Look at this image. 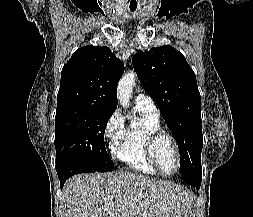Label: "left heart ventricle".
<instances>
[{
  "label": "left heart ventricle",
  "instance_id": "left-heart-ventricle-1",
  "mask_svg": "<svg viewBox=\"0 0 253 217\" xmlns=\"http://www.w3.org/2000/svg\"><path fill=\"white\" fill-rule=\"evenodd\" d=\"M157 161L166 174H171L176 169V154L172 143L166 137L158 140L155 146Z\"/></svg>",
  "mask_w": 253,
  "mask_h": 217
}]
</instances>
